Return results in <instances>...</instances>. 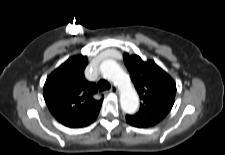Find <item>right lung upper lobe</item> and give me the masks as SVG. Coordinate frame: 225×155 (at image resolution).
Segmentation results:
<instances>
[{"label": "right lung upper lobe", "mask_w": 225, "mask_h": 155, "mask_svg": "<svg viewBox=\"0 0 225 155\" xmlns=\"http://www.w3.org/2000/svg\"><path fill=\"white\" fill-rule=\"evenodd\" d=\"M87 57L78 55L69 58L53 73L44 85V99L51 114L63 125L79 128L95 121L102 104L93 95L95 83L84 77Z\"/></svg>", "instance_id": "right-lung-upper-lobe-1"}]
</instances>
